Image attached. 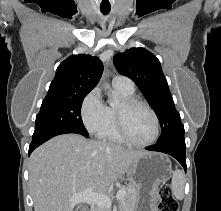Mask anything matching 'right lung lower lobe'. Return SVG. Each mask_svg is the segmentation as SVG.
Listing matches in <instances>:
<instances>
[{
  "instance_id": "1",
  "label": "right lung lower lobe",
  "mask_w": 221,
  "mask_h": 211,
  "mask_svg": "<svg viewBox=\"0 0 221 211\" xmlns=\"http://www.w3.org/2000/svg\"><path fill=\"white\" fill-rule=\"evenodd\" d=\"M66 133H77V134H81L85 137H89L88 133L85 134V133H81V132H78V131H75V130L50 131V132L32 137V142L29 146L28 154L30 155L35 148H37L38 146H40L41 144H43L47 140L51 139L52 137L57 136V135H61V134H66Z\"/></svg>"
}]
</instances>
